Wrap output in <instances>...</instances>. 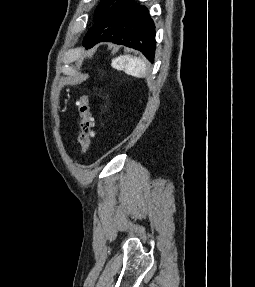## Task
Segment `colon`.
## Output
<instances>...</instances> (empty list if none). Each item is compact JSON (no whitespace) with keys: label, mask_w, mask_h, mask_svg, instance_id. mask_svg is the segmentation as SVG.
<instances>
[{"label":"colon","mask_w":255,"mask_h":287,"mask_svg":"<svg viewBox=\"0 0 255 287\" xmlns=\"http://www.w3.org/2000/svg\"><path fill=\"white\" fill-rule=\"evenodd\" d=\"M78 110L80 115V132L79 144L82 155H87L90 147L91 140L94 135L93 132V116L91 114L88 96L83 95L78 101Z\"/></svg>","instance_id":"5ec220e1"}]
</instances>
